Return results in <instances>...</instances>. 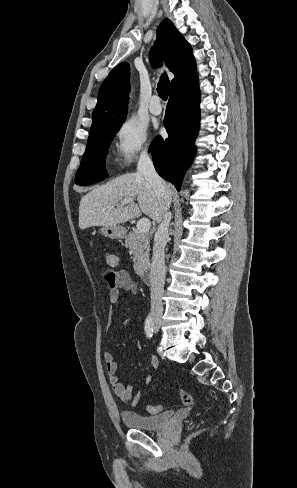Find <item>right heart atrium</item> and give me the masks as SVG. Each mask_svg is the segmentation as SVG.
Returning <instances> with one entry per match:
<instances>
[{"label":"right heart atrium","mask_w":297,"mask_h":488,"mask_svg":"<svg viewBox=\"0 0 297 488\" xmlns=\"http://www.w3.org/2000/svg\"><path fill=\"white\" fill-rule=\"evenodd\" d=\"M151 142L146 127L136 118H126L115 133V151L118 159L128 164L138 156L147 155Z\"/></svg>","instance_id":"d8ad5b80"}]
</instances>
